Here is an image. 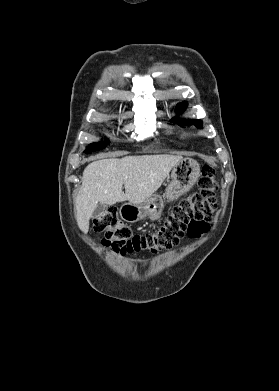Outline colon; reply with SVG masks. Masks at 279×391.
Listing matches in <instances>:
<instances>
[{
	"mask_svg": "<svg viewBox=\"0 0 279 391\" xmlns=\"http://www.w3.org/2000/svg\"><path fill=\"white\" fill-rule=\"evenodd\" d=\"M217 188L214 168L205 165L198 181L199 191L174 205L157 230L134 234L120 219L116 208H109L97 216L93 221L94 230L104 233V246L121 255L170 249L185 233L199 238L207 232L217 209Z\"/></svg>",
	"mask_w": 279,
	"mask_h": 391,
	"instance_id": "obj_1",
	"label": "colon"
}]
</instances>
